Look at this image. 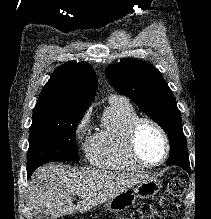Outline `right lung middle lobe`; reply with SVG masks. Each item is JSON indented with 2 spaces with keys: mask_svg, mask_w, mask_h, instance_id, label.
I'll return each instance as SVG.
<instances>
[{
  "mask_svg": "<svg viewBox=\"0 0 211 219\" xmlns=\"http://www.w3.org/2000/svg\"><path fill=\"white\" fill-rule=\"evenodd\" d=\"M84 113L57 114L35 106L30 127L28 177L40 165L51 161H79L75 132Z\"/></svg>",
  "mask_w": 211,
  "mask_h": 219,
  "instance_id": "1",
  "label": "right lung middle lobe"
}]
</instances>
